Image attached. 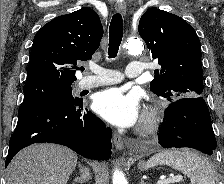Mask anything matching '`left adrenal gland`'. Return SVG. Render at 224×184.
I'll return each mask as SVG.
<instances>
[{
	"mask_svg": "<svg viewBox=\"0 0 224 184\" xmlns=\"http://www.w3.org/2000/svg\"><path fill=\"white\" fill-rule=\"evenodd\" d=\"M140 184H145V183H144V179H141V180H140Z\"/></svg>",
	"mask_w": 224,
	"mask_h": 184,
	"instance_id": "left-adrenal-gland-1",
	"label": "left adrenal gland"
}]
</instances>
